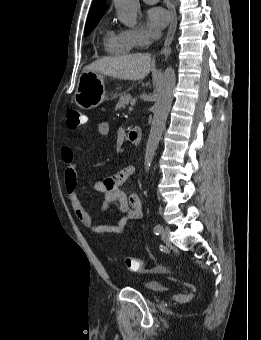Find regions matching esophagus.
I'll return each instance as SVG.
<instances>
[{
	"label": "esophagus",
	"mask_w": 261,
	"mask_h": 340,
	"mask_svg": "<svg viewBox=\"0 0 261 340\" xmlns=\"http://www.w3.org/2000/svg\"><path fill=\"white\" fill-rule=\"evenodd\" d=\"M168 8H169L170 16H171V22H170V26H169L167 36L164 42V47H163L164 52L170 51V44L172 43L175 31H176V27H177V18H176L174 7L170 5L168 6Z\"/></svg>",
	"instance_id": "esophagus-1"
}]
</instances>
